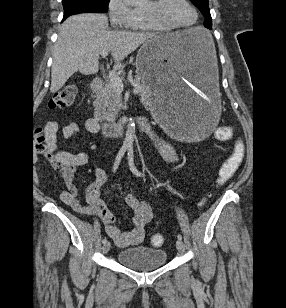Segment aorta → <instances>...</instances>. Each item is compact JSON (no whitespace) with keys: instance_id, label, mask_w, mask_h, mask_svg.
<instances>
[{"instance_id":"762f6f07","label":"aorta","mask_w":286,"mask_h":308,"mask_svg":"<svg viewBox=\"0 0 286 308\" xmlns=\"http://www.w3.org/2000/svg\"><path fill=\"white\" fill-rule=\"evenodd\" d=\"M124 1L130 4H140L146 2L147 0H124ZM134 136H135V123L134 120L130 118L127 124V131L125 135L124 145L132 147L134 142Z\"/></svg>"}]
</instances>
